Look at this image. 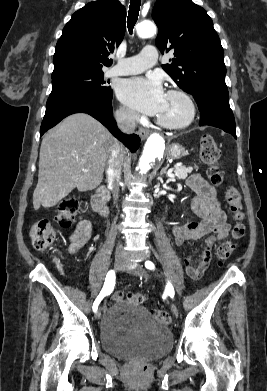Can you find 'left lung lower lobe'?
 <instances>
[{
	"label": "left lung lower lobe",
	"instance_id": "0a47b994",
	"mask_svg": "<svg viewBox=\"0 0 267 391\" xmlns=\"http://www.w3.org/2000/svg\"><path fill=\"white\" fill-rule=\"evenodd\" d=\"M201 113L200 126L223 129L236 138L235 120L229 105L228 90L208 88L193 94Z\"/></svg>",
	"mask_w": 267,
	"mask_h": 391
}]
</instances>
